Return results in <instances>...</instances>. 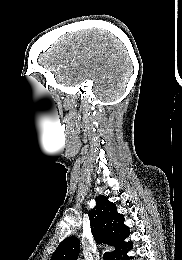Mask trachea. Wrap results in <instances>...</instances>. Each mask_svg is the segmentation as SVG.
I'll return each instance as SVG.
<instances>
[{"mask_svg":"<svg viewBox=\"0 0 182 260\" xmlns=\"http://www.w3.org/2000/svg\"><path fill=\"white\" fill-rule=\"evenodd\" d=\"M103 259H104V260H112V259H111V254H110V252H105V253H104V256H103Z\"/></svg>","mask_w":182,"mask_h":260,"instance_id":"trachea-1","label":"trachea"}]
</instances>
